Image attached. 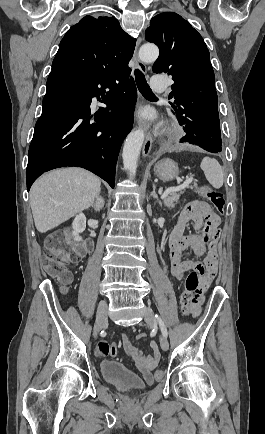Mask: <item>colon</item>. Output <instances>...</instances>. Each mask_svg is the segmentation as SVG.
<instances>
[{"label":"colon","mask_w":265,"mask_h":434,"mask_svg":"<svg viewBox=\"0 0 265 434\" xmlns=\"http://www.w3.org/2000/svg\"><path fill=\"white\" fill-rule=\"evenodd\" d=\"M200 192L209 200L217 212H224L225 199L222 193L210 186H203ZM78 258V253L72 250L71 246L62 238V235L56 234L47 240L43 256V272L46 276L57 278L59 284L66 288L72 281V272L67 268V265L75 263ZM188 271L187 278H184L185 290L181 295L183 314L186 317L192 313L190 304L192 294L195 293V287L199 286V281L203 279L199 278L196 270L191 269ZM118 352V347L106 340L100 341L96 347V353L99 357L116 356ZM154 375L156 378H160L163 375V369H157Z\"/></svg>","instance_id":"5ec220e1"}]
</instances>
